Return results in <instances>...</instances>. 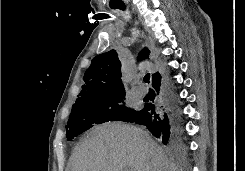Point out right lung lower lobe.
<instances>
[{
    "mask_svg": "<svg viewBox=\"0 0 245 171\" xmlns=\"http://www.w3.org/2000/svg\"><path fill=\"white\" fill-rule=\"evenodd\" d=\"M160 94V104L147 103L131 122L144 125L164 145L176 146L183 134L181 111L177 102L173 85L160 77L152 83Z\"/></svg>",
    "mask_w": 245,
    "mask_h": 171,
    "instance_id": "98d812e1",
    "label": "right lung lower lobe"
}]
</instances>
